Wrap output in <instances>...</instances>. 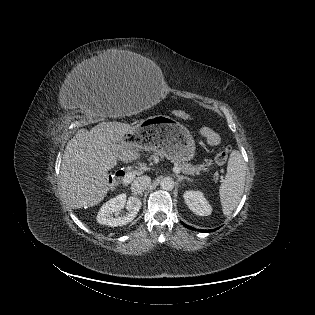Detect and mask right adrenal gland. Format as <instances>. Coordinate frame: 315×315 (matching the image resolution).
Segmentation results:
<instances>
[{
  "instance_id": "1",
  "label": "right adrenal gland",
  "mask_w": 315,
  "mask_h": 315,
  "mask_svg": "<svg viewBox=\"0 0 315 315\" xmlns=\"http://www.w3.org/2000/svg\"><path fill=\"white\" fill-rule=\"evenodd\" d=\"M132 195H133V196H137V195L142 196V195H143V193H139V194L132 193Z\"/></svg>"
}]
</instances>
